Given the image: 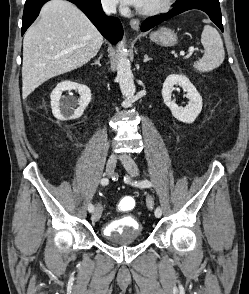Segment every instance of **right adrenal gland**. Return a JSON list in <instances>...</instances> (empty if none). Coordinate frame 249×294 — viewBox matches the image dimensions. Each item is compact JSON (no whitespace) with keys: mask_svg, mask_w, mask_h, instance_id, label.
I'll use <instances>...</instances> for the list:
<instances>
[{"mask_svg":"<svg viewBox=\"0 0 249 294\" xmlns=\"http://www.w3.org/2000/svg\"><path fill=\"white\" fill-rule=\"evenodd\" d=\"M102 56H103V54L101 53V54L99 55L98 59H97L94 63H92V65H98V66H101V64H100V60H101Z\"/></svg>","mask_w":249,"mask_h":294,"instance_id":"right-adrenal-gland-1","label":"right adrenal gland"}]
</instances>
